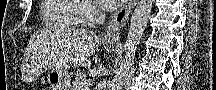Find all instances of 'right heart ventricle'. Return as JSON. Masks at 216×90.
Segmentation results:
<instances>
[{"label":"right heart ventricle","mask_w":216,"mask_h":90,"mask_svg":"<svg viewBox=\"0 0 216 90\" xmlns=\"http://www.w3.org/2000/svg\"><path fill=\"white\" fill-rule=\"evenodd\" d=\"M45 7H41L44 15V28H86L83 19H75L84 11L83 4H76V0H43Z\"/></svg>","instance_id":"e07e8e85"}]
</instances>
